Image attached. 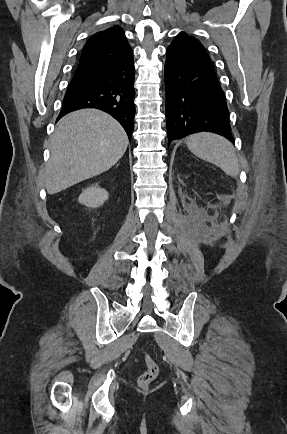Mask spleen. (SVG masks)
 Returning <instances> with one entry per match:
<instances>
[{"label":"spleen","instance_id":"1","mask_svg":"<svg viewBox=\"0 0 287 434\" xmlns=\"http://www.w3.org/2000/svg\"><path fill=\"white\" fill-rule=\"evenodd\" d=\"M188 149L197 157L220 167L227 175L239 174V161L233 145L224 137L213 133H196L186 142Z\"/></svg>","mask_w":287,"mask_h":434}]
</instances>
